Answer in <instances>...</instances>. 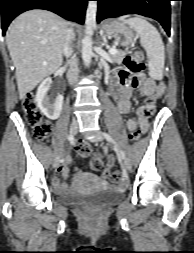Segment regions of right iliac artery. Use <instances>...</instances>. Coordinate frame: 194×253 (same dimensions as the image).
I'll return each instance as SVG.
<instances>
[{
  "label": "right iliac artery",
  "instance_id": "obj_1",
  "mask_svg": "<svg viewBox=\"0 0 194 253\" xmlns=\"http://www.w3.org/2000/svg\"><path fill=\"white\" fill-rule=\"evenodd\" d=\"M68 140H69V142L72 144L73 142H74V136L73 135H69L68 136ZM64 161V159H60V162H63Z\"/></svg>",
  "mask_w": 194,
  "mask_h": 253
}]
</instances>
